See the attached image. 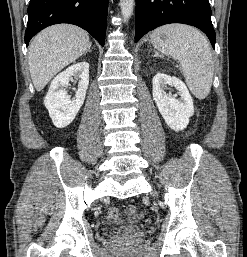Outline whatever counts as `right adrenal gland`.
<instances>
[{"mask_svg": "<svg viewBox=\"0 0 247 257\" xmlns=\"http://www.w3.org/2000/svg\"><path fill=\"white\" fill-rule=\"evenodd\" d=\"M91 51H92L91 49L88 50V52H91ZM86 53H87V52H86ZM86 53H85V54H86Z\"/></svg>", "mask_w": 247, "mask_h": 257, "instance_id": "obj_1", "label": "right adrenal gland"}]
</instances>
